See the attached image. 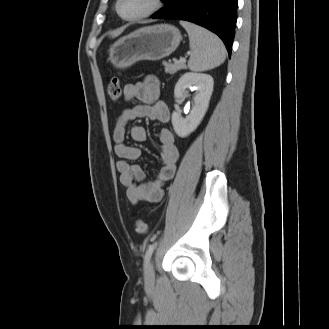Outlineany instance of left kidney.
I'll return each instance as SVG.
<instances>
[{
	"label": "left kidney",
	"instance_id": "left-kidney-1",
	"mask_svg": "<svg viewBox=\"0 0 329 329\" xmlns=\"http://www.w3.org/2000/svg\"><path fill=\"white\" fill-rule=\"evenodd\" d=\"M214 81L208 74L187 72L180 77L175 85V99L184 98L188 90H196L193 97L194 106L190 114L183 118L180 112L172 113V125L179 137H187L201 123L209 106Z\"/></svg>",
	"mask_w": 329,
	"mask_h": 329
}]
</instances>
